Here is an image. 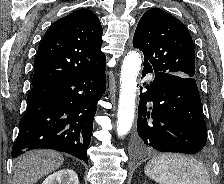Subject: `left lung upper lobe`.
<instances>
[{
	"instance_id": "5c2ea615",
	"label": "left lung upper lobe",
	"mask_w": 224,
	"mask_h": 184,
	"mask_svg": "<svg viewBox=\"0 0 224 184\" xmlns=\"http://www.w3.org/2000/svg\"><path fill=\"white\" fill-rule=\"evenodd\" d=\"M133 46L144 54V68L180 77H195V51L185 25L169 13L152 8L140 19Z\"/></svg>"
}]
</instances>
